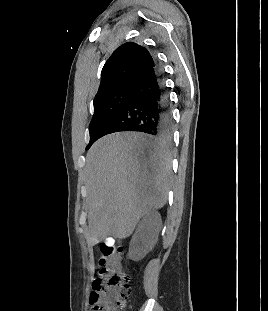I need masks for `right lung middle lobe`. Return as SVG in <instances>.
Returning <instances> with one entry per match:
<instances>
[{
  "mask_svg": "<svg viewBox=\"0 0 268 311\" xmlns=\"http://www.w3.org/2000/svg\"><path fill=\"white\" fill-rule=\"evenodd\" d=\"M135 88L136 84L125 85L94 100V114L89 125L90 142L86 150L103 136L105 129L131 99Z\"/></svg>",
  "mask_w": 268,
  "mask_h": 311,
  "instance_id": "dd1d6c3e",
  "label": "right lung middle lobe"
}]
</instances>
